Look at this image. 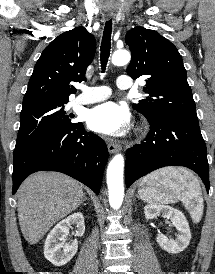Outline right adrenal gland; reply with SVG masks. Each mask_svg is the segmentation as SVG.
Instances as JSON below:
<instances>
[{"label":"right adrenal gland","mask_w":215,"mask_h":274,"mask_svg":"<svg viewBox=\"0 0 215 274\" xmlns=\"http://www.w3.org/2000/svg\"><path fill=\"white\" fill-rule=\"evenodd\" d=\"M86 200H88V198H87L86 195L84 194V199H83V201H82V204H84V202H85Z\"/></svg>","instance_id":"2a0ac1e0"}]
</instances>
